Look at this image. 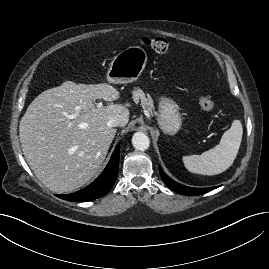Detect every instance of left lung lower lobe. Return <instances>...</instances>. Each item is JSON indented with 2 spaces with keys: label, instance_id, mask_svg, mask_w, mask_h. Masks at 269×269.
I'll use <instances>...</instances> for the list:
<instances>
[{
  "label": "left lung lower lobe",
  "instance_id": "0a47b994",
  "mask_svg": "<svg viewBox=\"0 0 269 269\" xmlns=\"http://www.w3.org/2000/svg\"><path fill=\"white\" fill-rule=\"evenodd\" d=\"M159 172L161 175V178L163 179V181L165 182V184L172 190H174L175 192L179 193V194H183V195H201L204 193H207L216 187H210V188H192V187H187L184 185H181L175 181H173L172 179H170L162 170V168L159 166Z\"/></svg>",
  "mask_w": 269,
  "mask_h": 269
}]
</instances>
